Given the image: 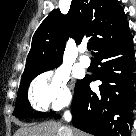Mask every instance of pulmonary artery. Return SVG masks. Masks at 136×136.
Wrapping results in <instances>:
<instances>
[{"instance_id": "obj_1", "label": "pulmonary artery", "mask_w": 136, "mask_h": 136, "mask_svg": "<svg viewBox=\"0 0 136 136\" xmlns=\"http://www.w3.org/2000/svg\"><path fill=\"white\" fill-rule=\"evenodd\" d=\"M81 52H82V53L85 52V48H84V47L81 48ZM79 61H80L81 65H82L83 67H86V68L89 67L90 64H91L90 58H89L87 55H84V54L80 56Z\"/></svg>"}]
</instances>
